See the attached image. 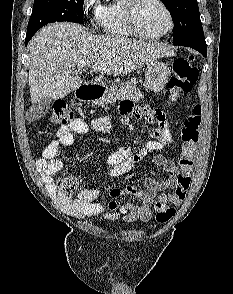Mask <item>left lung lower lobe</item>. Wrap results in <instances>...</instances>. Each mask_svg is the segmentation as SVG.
<instances>
[{"label":"left lung lower lobe","mask_w":233,"mask_h":294,"mask_svg":"<svg viewBox=\"0 0 233 294\" xmlns=\"http://www.w3.org/2000/svg\"><path fill=\"white\" fill-rule=\"evenodd\" d=\"M187 47H191L193 49H196L197 51H199L204 57H206L207 55V47L206 44H203V46H187Z\"/></svg>","instance_id":"left-lung-lower-lobe-1"}]
</instances>
